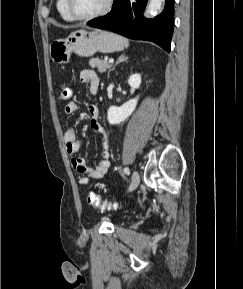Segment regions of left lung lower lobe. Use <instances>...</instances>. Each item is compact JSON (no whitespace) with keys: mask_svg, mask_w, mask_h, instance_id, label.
<instances>
[{"mask_svg":"<svg viewBox=\"0 0 243 289\" xmlns=\"http://www.w3.org/2000/svg\"><path fill=\"white\" fill-rule=\"evenodd\" d=\"M147 0H114L105 16L87 22L91 27L107 29L135 40H147L170 52L173 34L174 0H165V9L151 20L143 18Z\"/></svg>","mask_w":243,"mask_h":289,"instance_id":"left-lung-lower-lobe-1","label":"left lung lower lobe"}]
</instances>
